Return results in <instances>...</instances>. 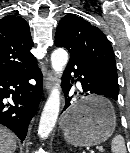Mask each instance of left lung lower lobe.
Returning a JSON list of instances; mask_svg holds the SVG:
<instances>
[{
	"label": "left lung lower lobe",
	"instance_id": "left-lung-lower-lobe-1",
	"mask_svg": "<svg viewBox=\"0 0 130 153\" xmlns=\"http://www.w3.org/2000/svg\"><path fill=\"white\" fill-rule=\"evenodd\" d=\"M55 45L57 47H64L60 42L55 43ZM72 73H74V77H78V81L82 85L80 95L98 94L118 100V91L112 87L100 69L85 60L70 57L62 76V89L66 100L64 110L71 105V97H68V93L71 88L70 80L72 79ZM72 81L74 80L72 79Z\"/></svg>",
	"mask_w": 130,
	"mask_h": 153
}]
</instances>
